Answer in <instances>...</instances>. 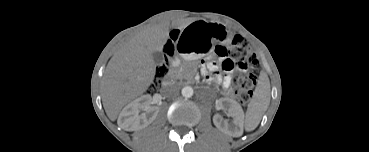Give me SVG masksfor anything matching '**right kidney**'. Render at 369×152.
<instances>
[{
    "instance_id": "obj_1",
    "label": "right kidney",
    "mask_w": 369,
    "mask_h": 152,
    "mask_svg": "<svg viewBox=\"0 0 369 152\" xmlns=\"http://www.w3.org/2000/svg\"><path fill=\"white\" fill-rule=\"evenodd\" d=\"M141 110L145 112L139 115ZM156 114L157 107L153 106L150 98L144 95L124 107L119 118H122L125 123L139 130L149 125L156 117Z\"/></svg>"
}]
</instances>
